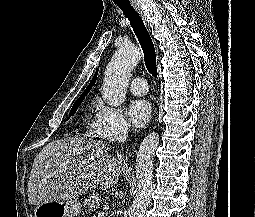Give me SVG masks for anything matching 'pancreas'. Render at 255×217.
Returning <instances> with one entry per match:
<instances>
[{
  "label": "pancreas",
  "mask_w": 255,
  "mask_h": 217,
  "mask_svg": "<svg viewBox=\"0 0 255 217\" xmlns=\"http://www.w3.org/2000/svg\"><path fill=\"white\" fill-rule=\"evenodd\" d=\"M102 203V200L98 197L97 194H91L88 198L84 200V206L90 211L93 212Z\"/></svg>",
  "instance_id": "pancreas-1"
}]
</instances>
